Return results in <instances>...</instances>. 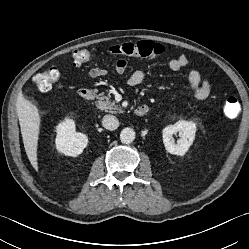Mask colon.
<instances>
[{
    "label": "colon",
    "instance_id": "obj_1",
    "mask_svg": "<svg viewBox=\"0 0 249 249\" xmlns=\"http://www.w3.org/2000/svg\"><path fill=\"white\" fill-rule=\"evenodd\" d=\"M163 53L162 45L149 40H140L136 42H128L115 45L109 48L110 56H123L129 58H146L156 59ZM95 55L88 50H77L73 54V62L75 65H82L92 61ZM60 79V72L57 68L51 67L34 76L33 82L39 91L47 92ZM240 110V104L236 98L226 99L223 105V113L227 118H233Z\"/></svg>",
    "mask_w": 249,
    "mask_h": 249
}]
</instances>
